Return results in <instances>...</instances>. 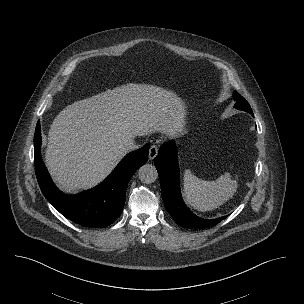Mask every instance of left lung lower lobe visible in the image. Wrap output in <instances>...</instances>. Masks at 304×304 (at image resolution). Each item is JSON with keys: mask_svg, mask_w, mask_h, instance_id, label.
<instances>
[{"mask_svg": "<svg viewBox=\"0 0 304 304\" xmlns=\"http://www.w3.org/2000/svg\"><path fill=\"white\" fill-rule=\"evenodd\" d=\"M154 164L158 171L165 208L179 226L189 229L208 228L226 218L224 216L212 220L202 219L186 207L180 193L177 149L173 140L160 147Z\"/></svg>", "mask_w": 304, "mask_h": 304, "instance_id": "left-lung-lower-lobe-1", "label": "left lung lower lobe"}]
</instances>
